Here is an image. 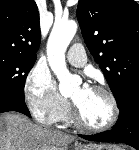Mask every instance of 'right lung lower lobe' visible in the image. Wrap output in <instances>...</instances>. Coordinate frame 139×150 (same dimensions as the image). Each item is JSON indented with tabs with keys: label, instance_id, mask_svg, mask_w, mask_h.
<instances>
[{
	"label": "right lung lower lobe",
	"instance_id": "obj_1",
	"mask_svg": "<svg viewBox=\"0 0 139 150\" xmlns=\"http://www.w3.org/2000/svg\"><path fill=\"white\" fill-rule=\"evenodd\" d=\"M8 111L20 112L31 118L30 112L25 104V98L0 92V113Z\"/></svg>",
	"mask_w": 139,
	"mask_h": 150
}]
</instances>
